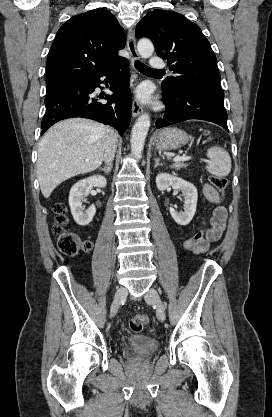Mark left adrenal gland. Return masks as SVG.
<instances>
[{"label":"left adrenal gland","mask_w":272,"mask_h":417,"mask_svg":"<svg viewBox=\"0 0 272 417\" xmlns=\"http://www.w3.org/2000/svg\"><path fill=\"white\" fill-rule=\"evenodd\" d=\"M155 160V168L158 166H162V163H160V159L159 158H154Z\"/></svg>","instance_id":"obj_1"}]
</instances>
